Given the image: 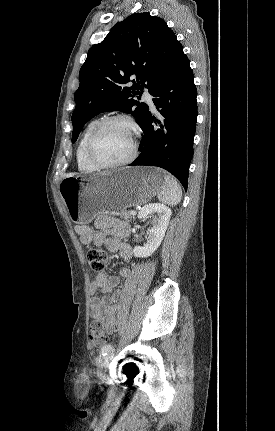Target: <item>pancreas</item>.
Returning a JSON list of instances; mask_svg holds the SVG:
<instances>
[{
  "label": "pancreas",
  "instance_id": "1",
  "mask_svg": "<svg viewBox=\"0 0 275 431\" xmlns=\"http://www.w3.org/2000/svg\"><path fill=\"white\" fill-rule=\"evenodd\" d=\"M121 218H124L126 221H131L134 219V215H131L130 212L123 211L119 214Z\"/></svg>",
  "mask_w": 275,
  "mask_h": 431
}]
</instances>
